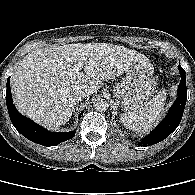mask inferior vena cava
I'll return each instance as SVG.
<instances>
[{
	"label": "inferior vena cava",
	"mask_w": 195,
	"mask_h": 195,
	"mask_svg": "<svg viewBox=\"0 0 195 195\" xmlns=\"http://www.w3.org/2000/svg\"><path fill=\"white\" fill-rule=\"evenodd\" d=\"M90 94L91 92L84 87H79L73 92L76 102H80L83 99H86Z\"/></svg>",
	"instance_id": "obj_1"
}]
</instances>
